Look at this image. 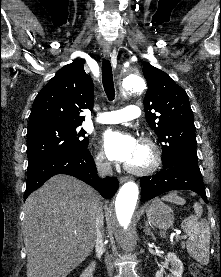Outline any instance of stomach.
<instances>
[{
	"label": "stomach",
	"mask_w": 221,
	"mask_h": 277,
	"mask_svg": "<svg viewBox=\"0 0 221 277\" xmlns=\"http://www.w3.org/2000/svg\"><path fill=\"white\" fill-rule=\"evenodd\" d=\"M146 215L149 223L164 230L170 228L174 222L173 210L159 199L153 200L147 207Z\"/></svg>",
	"instance_id": "obj_1"
}]
</instances>
